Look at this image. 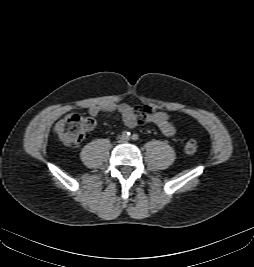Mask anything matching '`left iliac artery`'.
<instances>
[{"instance_id":"left-iliac-artery-1","label":"left iliac artery","mask_w":254,"mask_h":267,"mask_svg":"<svg viewBox=\"0 0 254 267\" xmlns=\"http://www.w3.org/2000/svg\"><path fill=\"white\" fill-rule=\"evenodd\" d=\"M131 138L132 140L137 141L139 139V136L137 134H133Z\"/></svg>"}]
</instances>
